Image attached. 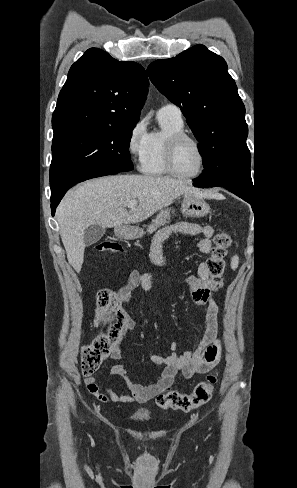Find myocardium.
Returning <instances> with one entry per match:
<instances>
[{
    "label": "myocardium",
    "mask_w": 297,
    "mask_h": 488,
    "mask_svg": "<svg viewBox=\"0 0 297 488\" xmlns=\"http://www.w3.org/2000/svg\"><path fill=\"white\" fill-rule=\"evenodd\" d=\"M185 141L192 142L196 146L200 154V166L198 170L193 174H189V175L180 173L177 170L175 165L176 152L179 146ZM206 161H207L206 151L203 145L201 144V142L194 136L187 134L186 132H180L170 136L166 140L165 148H164V165L167 171L171 175L183 180H190V179L197 178L204 172L206 167Z\"/></svg>",
    "instance_id": "1"
}]
</instances>
